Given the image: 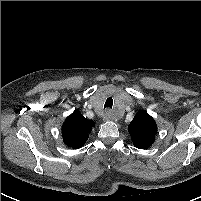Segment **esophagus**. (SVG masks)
I'll return each instance as SVG.
<instances>
[{
	"label": "esophagus",
	"mask_w": 201,
	"mask_h": 201,
	"mask_svg": "<svg viewBox=\"0 0 201 201\" xmlns=\"http://www.w3.org/2000/svg\"><path fill=\"white\" fill-rule=\"evenodd\" d=\"M111 118H112V115H111L110 111H105V113L103 114V120L108 121Z\"/></svg>",
	"instance_id": "1"
}]
</instances>
